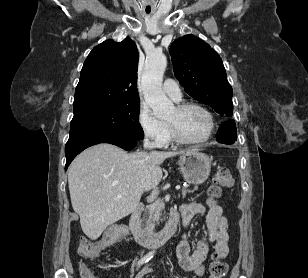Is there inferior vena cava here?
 Listing matches in <instances>:
<instances>
[{"mask_svg":"<svg viewBox=\"0 0 308 278\" xmlns=\"http://www.w3.org/2000/svg\"><path fill=\"white\" fill-rule=\"evenodd\" d=\"M148 147H149V141L148 139H146L144 142V148H148Z\"/></svg>","mask_w":308,"mask_h":278,"instance_id":"1","label":"inferior vena cava"}]
</instances>
